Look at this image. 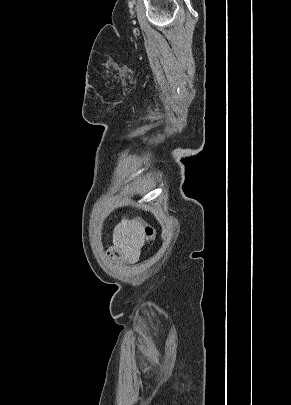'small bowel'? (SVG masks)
Masks as SVG:
<instances>
[{
  "mask_svg": "<svg viewBox=\"0 0 291 405\" xmlns=\"http://www.w3.org/2000/svg\"><path fill=\"white\" fill-rule=\"evenodd\" d=\"M143 243L142 225L126 221L116 227L108 254L118 259L135 262L140 257Z\"/></svg>",
  "mask_w": 291,
  "mask_h": 405,
  "instance_id": "c3829d8e",
  "label": "small bowel"
}]
</instances>
